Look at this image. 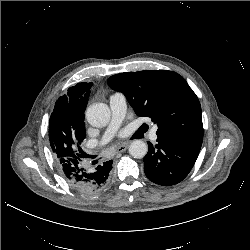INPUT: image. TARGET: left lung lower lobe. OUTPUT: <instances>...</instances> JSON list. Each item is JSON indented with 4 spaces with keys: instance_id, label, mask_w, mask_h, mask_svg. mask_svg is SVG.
I'll list each match as a JSON object with an SVG mask.
<instances>
[{
    "instance_id": "left-lung-lower-lobe-1",
    "label": "left lung lower lobe",
    "mask_w": 250,
    "mask_h": 250,
    "mask_svg": "<svg viewBox=\"0 0 250 250\" xmlns=\"http://www.w3.org/2000/svg\"><path fill=\"white\" fill-rule=\"evenodd\" d=\"M157 144L148 142L144 157L147 178L162 186L181 182L191 171L201 149V141L158 137Z\"/></svg>"
}]
</instances>
